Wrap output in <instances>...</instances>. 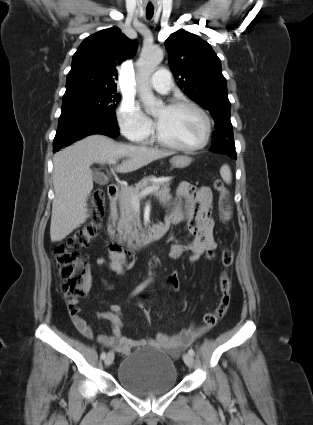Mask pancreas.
I'll list each match as a JSON object with an SVG mask.
<instances>
[{
	"mask_svg": "<svg viewBox=\"0 0 313 425\" xmlns=\"http://www.w3.org/2000/svg\"><path fill=\"white\" fill-rule=\"evenodd\" d=\"M155 179V176L145 177L135 184V187H124L119 193L120 218L116 230L119 234V241L126 242L130 247L134 246V241H138L143 230L140 215L134 209L132 197L140 195L147 188L156 187L158 189L151 192V195H154L161 204H166L171 199L169 182L155 181Z\"/></svg>",
	"mask_w": 313,
	"mask_h": 425,
	"instance_id": "pancreas-1",
	"label": "pancreas"
}]
</instances>
